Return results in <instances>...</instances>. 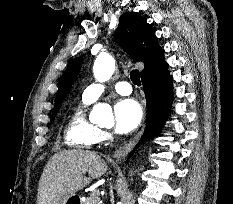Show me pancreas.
I'll use <instances>...</instances> for the list:
<instances>
[{"label": "pancreas", "mask_w": 233, "mask_h": 204, "mask_svg": "<svg viewBox=\"0 0 233 204\" xmlns=\"http://www.w3.org/2000/svg\"><path fill=\"white\" fill-rule=\"evenodd\" d=\"M81 204H100V203L98 201V197H94L90 195L89 197H86V199L82 201Z\"/></svg>", "instance_id": "obj_1"}]
</instances>
